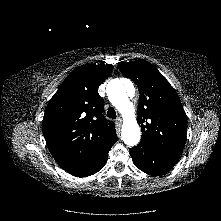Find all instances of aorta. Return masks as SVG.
Listing matches in <instances>:
<instances>
[{"mask_svg":"<svg viewBox=\"0 0 221 221\" xmlns=\"http://www.w3.org/2000/svg\"><path fill=\"white\" fill-rule=\"evenodd\" d=\"M107 96L112 105L123 117L122 140L128 146H135L139 143L141 132L136 121L135 109L129 100L123 83L119 79H113L107 84ZM131 92L134 93V86L131 84Z\"/></svg>","mask_w":221,"mask_h":221,"instance_id":"obj_1","label":"aorta"}]
</instances>
